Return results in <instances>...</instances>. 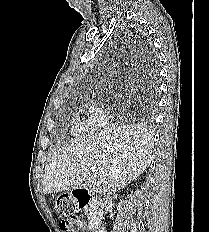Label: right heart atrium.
Segmentation results:
<instances>
[{
  "instance_id": "1",
  "label": "right heart atrium",
  "mask_w": 209,
  "mask_h": 232,
  "mask_svg": "<svg viewBox=\"0 0 209 232\" xmlns=\"http://www.w3.org/2000/svg\"><path fill=\"white\" fill-rule=\"evenodd\" d=\"M88 117L86 126L89 131H98L105 127L111 120L108 108L100 99H93L88 104Z\"/></svg>"
}]
</instances>
